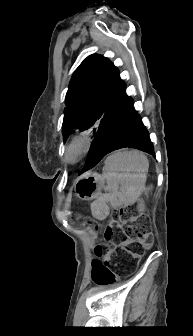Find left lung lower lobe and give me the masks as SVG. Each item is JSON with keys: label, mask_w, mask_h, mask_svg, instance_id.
Returning <instances> with one entry per match:
<instances>
[{"label": "left lung lower lobe", "mask_w": 193, "mask_h": 336, "mask_svg": "<svg viewBox=\"0 0 193 336\" xmlns=\"http://www.w3.org/2000/svg\"><path fill=\"white\" fill-rule=\"evenodd\" d=\"M124 147L136 148L155 157L149 134L124 89L105 115L92 142L88 160L80 173L94 167L105 155Z\"/></svg>", "instance_id": "0a47b994"}]
</instances>
